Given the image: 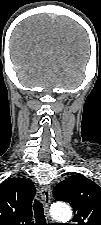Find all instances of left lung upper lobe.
Here are the masks:
<instances>
[{
	"instance_id": "5c2ea615",
	"label": "left lung upper lobe",
	"mask_w": 101,
	"mask_h": 225,
	"mask_svg": "<svg viewBox=\"0 0 101 225\" xmlns=\"http://www.w3.org/2000/svg\"><path fill=\"white\" fill-rule=\"evenodd\" d=\"M56 200L70 203L75 225H101V188L84 176H70L53 190Z\"/></svg>"
}]
</instances>
